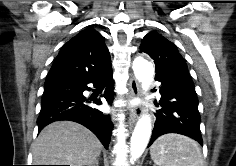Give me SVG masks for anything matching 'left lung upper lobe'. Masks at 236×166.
<instances>
[{
    "instance_id": "left-lung-upper-lobe-1",
    "label": "left lung upper lobe",
    "mask_w": 236,
    "mask_h": 166,
    "mask_svg": "<svg viewBox=\"0 0 236 166\" xmlns=\"http://www.w3.org/2000/svg\"><path fill=\"white\" fill-rule=\"evenodd\" d=\"M140 52L147 53L154 60L156 77L176 70L188 71L187 65L176 46L154 31L144 37Z\"/></svg>"
}]
</instances>
